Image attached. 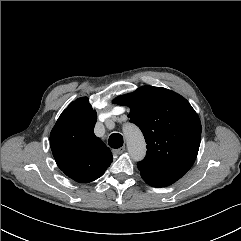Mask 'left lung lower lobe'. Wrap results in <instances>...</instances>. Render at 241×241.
<instances>
[{
  "label": "left lung lower lobe",
  "instance_id": "0a47b994",
  "mask_svg": "<svg viewBox=\"0 0 241 241\" xmlns=\"http://www.w3.org/2000/svg\"><path fill=\"white\" fill-rule=\"evenodd\" d=\"M141 176H142V175H141ZM142 178H143V180H144L147 184H149V185H151V186H153V187H165V186H168V185H166V184H164V183H162V182L149 179V178H147V177H145V176H142Z\"/></svg>",
  "mask_w": 241,
  "mask_h": 241
}]
</instances>
